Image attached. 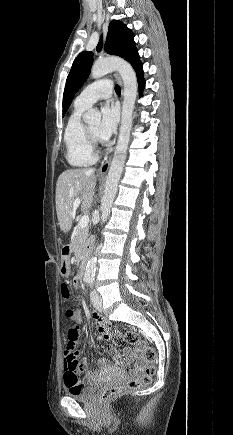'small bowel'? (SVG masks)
Instances as JSON below:
<instances>
[{
  "label": "small bowel",
  "mask_w": 233,
  "mask_h": 435,
  "mask_svg": "<svg viewBox=\"0 0 233 435\" xmlns=\"http://www.w3.org/2000/svg\"><path fill=\"white\" fill-rule=\"evenodd\" d=\"M74 286L77 287L78 283H74ZM70 291V285L69 284H62L60 286V294L62 296L68 295ZM92 318L97 323V332L98 335L103 340H109L110 334L108 331V325L102 320V316L99 312H93ZM75 328H77L78 324L81 322V315L79 311L75 312V316L72 319ZM78 337V330H70L68 333V340L73 341ZM109 352L113 358V361H110L106 358H101L99 360V364L97 367H93L92 369L86 370L88 366V361L86 357H81L79 354L76 353H67L64 355V361H63V382L64 385L70 389L71 385L68 380V376H76L79 373L85 372L84 377L82 378L81 383L86 384L92 382L95 378H97L100 375L108 374L113 371L122 370L124 365L121 361L119 354L117 350L114 347H109ZM125 355L129 358V360L136 362V367L134 369V372H140L142 370V359L139 356V350L137 348L131 349V348H125L124 349Z\"/></svg>",
  "instance_id": "small-bowel-1"
}]
</instances>
